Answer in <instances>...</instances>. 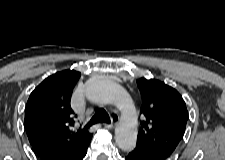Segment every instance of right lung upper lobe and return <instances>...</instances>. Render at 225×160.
Here are the masks:
<instances>
[{
    "mask_svg": "<svg viewBox=\"0 0 225 160\" xmlns=\"http://www.w3.org/2000/svg\"><path fill=\"white\" fill-rule=\"evenodd\" d=\"M80 73L65 70L46 78L30 94L25 110V130L42 159L72 160L90 144L92 134L74 129L71 94Z\"/></svg>",
    "mask_w": 225,
    "mask_h": 160,
    "instance_id": "1",
    "label": "right lung upper lobe"
}]
</instances>
